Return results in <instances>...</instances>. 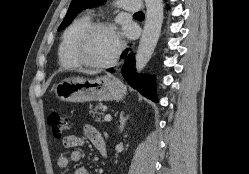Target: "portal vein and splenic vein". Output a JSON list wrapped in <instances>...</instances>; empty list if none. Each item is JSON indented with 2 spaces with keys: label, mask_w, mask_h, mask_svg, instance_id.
Wrapping results in <instances>:
<instances>
[{
  "label": "portal vein and splenic vein",
  "mask_w": 249,
  "mask_h": 174,
  "mask_svg": "<svg viewBox=\"0 0 249 174\" xmlns=\"http://www.w3.org/2000/svg\"><path fill=\"white\" fill-rule=\"evenodd\" d=\"M104 120L109 122L112 120V116L110 114L105 115Z\"/></svg>",
  "instance_id": "1"
}]
</instances>
